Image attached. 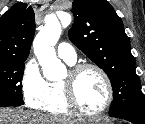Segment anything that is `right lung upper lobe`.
I'll list each match as a JSON object with an SVG mask.
<instances>
[{"mask_svg":"<svg viewBox=\"0 0 145 124\" xmlns=\"http://www.w3.org/2000/svg\"><path fill=\"white\" fill-rule=\"evenodd\" d=\"M34 34L33 8L15 4L0 19V60L27 59Z\"/></svg>","mask_w":145,"mask_h":124,"instance_id":"obj_1","label":"right lung upper lobe"}]
</instances>
